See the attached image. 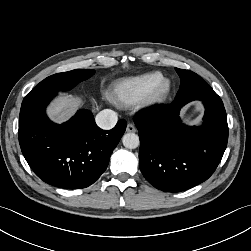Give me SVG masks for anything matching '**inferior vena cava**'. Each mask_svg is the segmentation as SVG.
<instances>
[{
    "label": "inferior vena cava",
    "instance_id": "obj_1",
    "mask_svg": "<svg viewBox=\"0 0 251 251\" xmlns=\"http://www.w3.org/2000/svg\"><path fill=\"white\" fill-rule=\"evenodd\" d=\"M118 121L116 112L110 109L100 111L96 116V124L104 130L112 129Z\"/></svg>",
    "mask_w": 251,
    "mask_h": 251
}]
</instances>
